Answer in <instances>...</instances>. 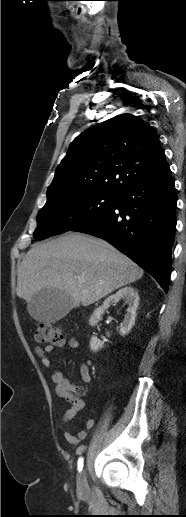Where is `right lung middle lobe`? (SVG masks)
Listing matches in <instances>:
<instances>
[{
	"label": "right lung middle lobe",
	"instance_id": "dd1d6c3e",
	"mask_svg": "<svg viewBox=\"0 0 186 517\" xmlns=\"http://www.w3.org/2000/svg\"><path fill=\"white\" fill-rule=\"evenodd\" d=\"M119 195L83 192L47 200L37 215L35 239H45L64 232L103 214L117 202Z\"/></svg>",
	"mask_w": 186,
	"mask_h": 517
}]
</instances>
